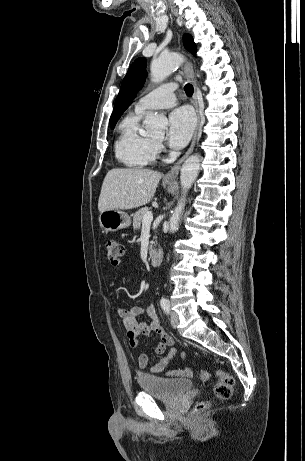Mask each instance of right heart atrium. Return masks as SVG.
<instances>
[{
	"instance_id": "right-heart-atrium-1",
	"label": "right heart atrium",
	"mask_w": 305,
	"mask_h": 461,
	"mask_svg": "<svg viewBox=\"0 0 305 461\" xmlns=\"http://www.w3.org/2000/svg\"><path fill=\"white\" fill-rule=\"evenodd\" d=\"M156 149H157V151H161L162 150V145L161 144H156Z\"/></svg>"
}]
</instances>
